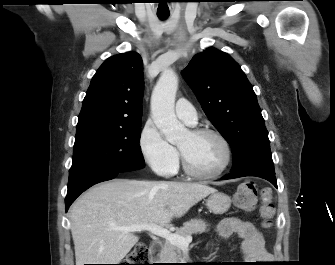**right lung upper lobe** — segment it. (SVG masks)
I'll use <instances>...</instances> for the list:
<instances>
[{"label":"right lung upper lobe","mask_w":335,"mask_h":265,"mask_svg":"<svg viewBox=\"0 0 335 265\" xmlns=\"http://www.w3.org/2000/svg\"><path fill=\"white\" fill-rule=\"evenodd\" d=\"M143 86V62L138 53L108 58L91 80L77 130L141 121Z\"/></svg>","instance_id":"1"}]
</instances>
